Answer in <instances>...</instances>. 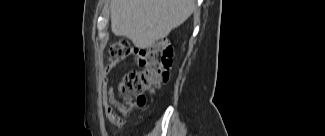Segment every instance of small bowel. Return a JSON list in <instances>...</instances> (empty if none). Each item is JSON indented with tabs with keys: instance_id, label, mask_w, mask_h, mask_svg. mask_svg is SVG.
<instances>
[{
	"instance_id": "1",
	"label": "small bowel",
	"mask_w": 325,
	"mask_h": 136,
	"mask_svg": "<svg viewBox=\"0 0 325 136\" xmlns=\"http://www.w3.org/2000/svg\"><path fill=\"white\" fill-rule=\"evenodd\" d=\"M127 55H133L134 60L136 61L137 68L128 69V73L122 74L120 77L119 86L117 91L111 92L114 89V84L110 83L109 75L114 69L116 64H108L103 71V104L105 108V113L109 121L114 125H123L125 123V116L127 115L129 109H119L117 104L114 101V98H120L121 93H125L126 88H132L134 75H138L139 69L146 68V55L149 54L148 48H143L138 44H129L126 49Z\"/></svg>"
}]
</instances>
